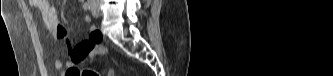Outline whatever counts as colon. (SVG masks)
<instances>
[{"mask_svg": "<svg viewBox=\"0 0 333 76\" xmlns=\"http://www.w3.org/2000/svg\"><path fill=\"white\" fill-rule=\"evenodd\" d=\"M101 76L100 72L94 69H81V76ZM109 76H114V71L110 70L108 72Z\"/></svg>", "mask_w": 333, "mask_h": 76, "instance_id": "obj_1", "label": "colon"}]
</instances>
